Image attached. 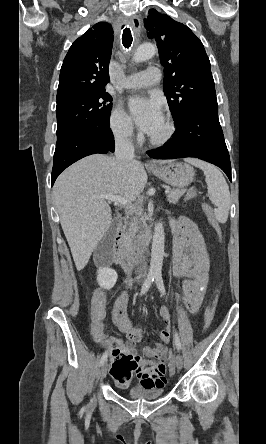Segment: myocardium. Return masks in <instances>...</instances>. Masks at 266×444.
<instances>
[{
	"label": "myocardium",
	"mask_w": 266,
	"mask_h": 444,
	"mask_svg": "<svg viewBox=\"0 0 266 444\" xmlns=\"http://www.w3.org/2000/svg\"><path fill=\"white\" fill-rule=\"evenodd\" d=\"M166 123V131L164 133V135H162L161 137H152L149 136V143L153 146L156 147H160L163 146L165 144H167L171 138L173 137L174 133H175V125L173 123V121L169 118H167L165 120Z\"/></svg>",
	"instance_id": "1"
}]
</instances>
